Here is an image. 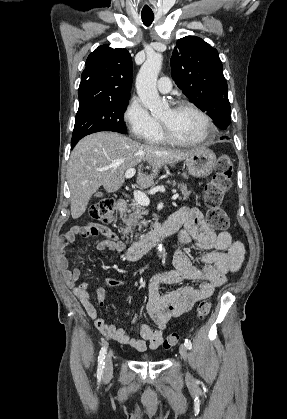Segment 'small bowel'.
<instances>
[{
    "label": "small bowel",
    "mask_w": 287,
    "mask_h": 419,
    "mask_svg": "<svg viewBox=\"0 0 287 419\" xmlns=\"http://www.w3.org/2000/svg\"><path fill=\"white\" fill-rule=\"evenodd\" d=\"M176 229L182 227L179 235V246L174 255L175 269L155 276L148 289L146 310L157 328L142 323L135 315L133 323L137 327L140 338L131 337L123 328L105 322L99 317L95 306L87 292L88 284H76L80 277L78 269L68 268L65 248L73 243L77 236L91 237L101 235L105 239L98 242V251L123 252L125 244L120 241L114 231L96 223L76 225L63 234L56 249V264L66 284L78 298L95 327L105 336L129 346L136 351L147 348L157 349L163 340V331L171 319L188 312L200 300L209 298L214 291L225 284L226 275L239 270L244 259V246L232 239L228 231L216 233L205 223L202 213L194 208H182L175 212L167 221ZM195 241L196 246L204 251L201 257V267L193 266L187 245ZM184 280L197 282V286L184 285L173 291L162 294L163 284H178ZM124 280L109 278L98 288V304L103 305L106 287L125 284ZM129 313L126 312V315Z\"/></svg>",
    "instance_id": "small-bowel-1"
}]
</instances>
